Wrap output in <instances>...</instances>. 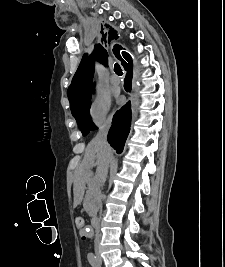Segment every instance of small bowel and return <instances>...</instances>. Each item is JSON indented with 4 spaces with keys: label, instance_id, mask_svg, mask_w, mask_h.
<instances>
[{
    "label": "small bowel",
    "instance_id": "small-bowel-1",
    "mask_svg": "<svg viewBox=\"0 0 225 267\" xmlns=\"http://www.w3.org/2000/svg\"><path fill=\"white\" fill-rule=\"evenodd\" d=\"M88 231V230H87ZM87 232H84V234H81V239L85 240L87 238Z\"/></svg>",
    "mask_w": 225,
    "mask_h": 267
}]
</instances>
